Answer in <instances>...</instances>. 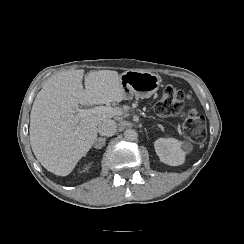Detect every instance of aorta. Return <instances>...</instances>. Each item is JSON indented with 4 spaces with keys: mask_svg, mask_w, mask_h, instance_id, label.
Instances as JSON below:
<instances>
[{
    "mask_svg": "<svg viewBox=\"0 0 244 244\" xmlns=\"http://www.w3.org/2000/svg\"><path fill=\"white\" fill-rule=\"evenodd\" d=\"M124 137L128 141H134L137 139V132L133 129H127L124 132Z\"/></svg>",
    "mask_w": 244,
    "mask_h": 244,
    "instance_id": "762f6f07",
    "label": "aorta"
}]
</instances>
